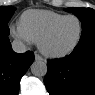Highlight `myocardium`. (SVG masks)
<instances>
[{"mask_svg":"<svg viewBox=\"0 0 95 95\" xmlns=\"http://www.w3.org/2000/svg\"><path fill=\"white\" fill-rule=\"evenodd\" d=\"M69 18H75L79 22V34H78V37H77L76 41L74 42V44L71 47H69L68 49L63 50V51H52V50L48 49L47 46H46V41L50 38V36L54 33V31L65 20H67ZM83 32H84L83 22L77 15H74V14L65 15L61 19H59L57 22H55L53 25H51L44 32V34L41 36V38L38 41V48L47 57H50V58H62V57H65V56L69 55L70 53H72L77 48V46L79 45V43L82 40Z\"/></svg>","mask_w":95,"mask_h":95,"instance_id":"myocardium-1","label":"myocardium"}]
</instances>
